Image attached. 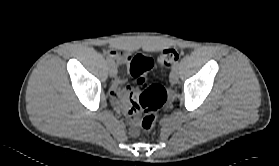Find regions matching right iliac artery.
<instances>
[{
	"label": "right iliac artery",
	"mask_w": 279,
	"mask_h": 166,
	"mask_svg": "<svg viewBox=\"0 0 279 166\" xmlns=\"http://www.w3.org/2000/svg\"><path fill=\"white\" fill-rule=\"evenodd\" d=\"M107 61L110 64H114V60L110 56H107Z\"/></svg>",
	"instance_id": "1"
}]
</instances>
